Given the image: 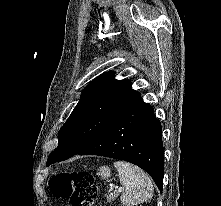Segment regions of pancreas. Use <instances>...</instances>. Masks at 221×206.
<instances>
[{
	"label": "pancreas",
	"mask_w": 221,
	"mask_h": 206,
	"mask_svg": "<svg viewBox=\"0 0 221 206\" xmlns=\"http://www.w3.org/2000/svg\"><path fill=\"white\" fill-rule=\"evenodd\" d=\"M118 197V192H115L114 194L107 195L106 200L107 202H112Z\"/></svg>",
	"instance_id": "1"
}]
</instances>
